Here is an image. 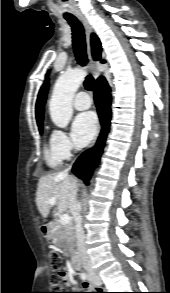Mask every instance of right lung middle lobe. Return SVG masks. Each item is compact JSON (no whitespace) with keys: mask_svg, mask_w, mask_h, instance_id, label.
Masks as SVG:
<instances>
[{"mask_svg":"<svg viewBox=\"0 0 170 293\" xmlns=\"http://www.w3.org/2000/svg\"><path fill=\"white\" fill-rule=\"evenodd\" d=\"M40 133L42 132V126H39Z\"/></svg>","mask_w":170,"mask_h":293,"instance_id":"1","label":"right lung middle lobe"}]
</instances>
